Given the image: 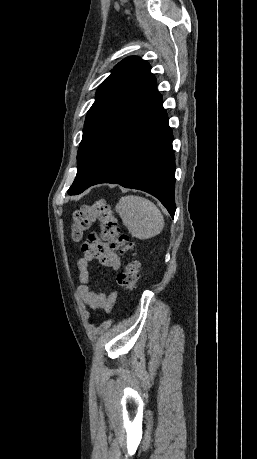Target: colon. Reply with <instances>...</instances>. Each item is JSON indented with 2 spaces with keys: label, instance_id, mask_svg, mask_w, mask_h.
I'll list each match as a JSON object with an SVG mask.
<instances>
[{
  "label": "colon",
  "instance_id": "1",
  "mask_svg": "<svg viewBox=\"0 0 257 459\" xmlns=\"http://www.w3.org/2000/svg\"><path fill=\"white\" fill-rule=\"evenodd\" d=\"M100 222L102 240L110 243L112 249L123 254L133 249L129 238L120 233L117 218L113 215L111 206L106 199H98L90 205H83L73 214L71 237L79 241L84 231L88 230L94 221ZM139 281V264L136 261L126 263L117 275L118 285L124 290H134Z\"/></svg>",
  "mask_w": 257,
  "mask_h": 459
}]
</instances>
